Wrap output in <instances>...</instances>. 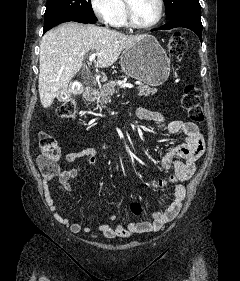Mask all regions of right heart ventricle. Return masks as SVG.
<instances>
[{"label": "right heart ventricle", "mask_w": 240, "mask_h": 281, "mask_svg": "<svg viewBox=\"0 0 240 281\" xmlns=\"http://www.w3.org/2000/svg\"><path fill=\"white\" fill-rule=\"evenodd\" d=\"M115 5H116V14L113 19L112 25L115 27H126L128 23H127L124 0H116Z\"/></svg>", "instance_id": "1"}]
</instances>
